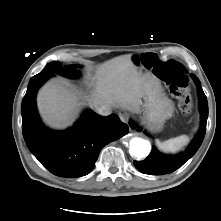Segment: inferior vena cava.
I'll return each mask as SVG.
<instances>
[{
    "label": "inferior vena cava",
    "instance_id": "obj_1",
    "mask_svg": "<svg viewBox=\"0 0 221 221\" xmlns=\"http://www.w3.org/2000/svg\"><path fill=\"white\" fill-rule=\"evenodd\" d=\"M98 114L107 116L111 113V108L108 106H100L96 108Z\"/></svg>",
    "mask_w": 221,
    "mask_h": 221
}]
</instances>
